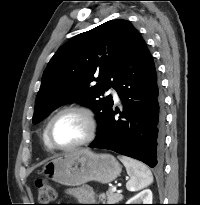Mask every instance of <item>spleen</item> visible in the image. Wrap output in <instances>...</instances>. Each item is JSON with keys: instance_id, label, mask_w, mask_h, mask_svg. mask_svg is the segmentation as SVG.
Returning <instances> with one entry per match:
<instances>
[{"instance_id": "1", "label": "spleen", "mask_w": 200, "mask_h": 205, "mask_svg": "<svg viewBox=\"0 0 200 205\" xmlns=\"http://www.w3.org/2000/svg\"><path fill=\"white\" fill-rule=\"evenodd\" d=\"M118 159L124 164L130 175V180L126 183L127 190L135 192L153 182V175L144 163L126 156H118Z\"/></svg>"}]
</instances>
